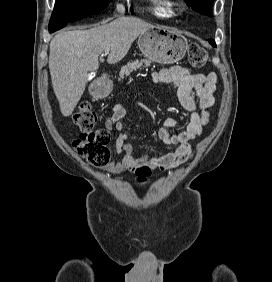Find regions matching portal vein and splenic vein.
Instances as JSON below:
<instances>
[{
    "instance_id": "1",
    "label": "portal vein and splenic vein",
    "mask_w": 272,
    "mask_h": 282,
    "mask_svg": "<svg viewBox=\"0 0 272 282\" xmlns=\"http://www.w3.org/2000/svg\"><path fill=\"white\" fill-rule=\"evenodd\" d=\"M110 52V48H106L105 50H104V53L105 54H108Z\"/></svg>"
}]
</instances>
